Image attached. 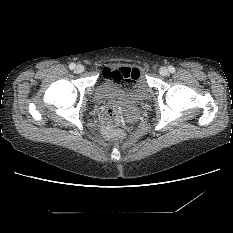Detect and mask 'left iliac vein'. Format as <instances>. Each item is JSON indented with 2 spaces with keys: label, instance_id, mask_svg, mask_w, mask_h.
<instances>
[{
  "label": "left iliac vein",
  "instance_id": "1",
  "mask_svg": "<svg viewBox=\"0 0 233 233\" xmlns=\"http://www.w3.org/2000/svg\"><path fill=\"white\" fill-rule=\"evenodd\" d=\"M159 73H160V75H162V76H166V75H168L169 71H168V69H167L166 67H161V68L159 69Z\"/></svg>",
  "mask_w": 233,
  "mask_h": 233
}]
</instances>
